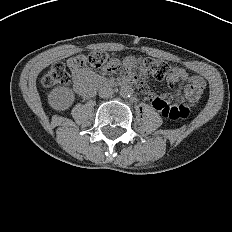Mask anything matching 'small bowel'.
I'll return each mask as SVG.
<instances>
[{
    "label": "small bowel",
    "instance_id": "small-bowel-1",
    "mask_svg": "<svg viewBox=\"0 0 232 232\" xmlns=\"http://www.w3.org/2000/svg\"><path fill=\"white\" fill-rule=\"evenodd\" d=\"M76 58L77 57L68 61V66L73 75V90L76 93L84 96V90L94 79L95 75L92 71L86 69L84 65L77 63ZM127 71L130 77H137L141 74L142 69L136 60L127 57L121 61V65L115 68L114 73L117 77L122 78L126 75ZM168 81L171 84L188 81L193 86H197L202 89L205 87V81L202 77L189 76L187 71L182 67H174L168 76ZM138 87L143 93L147 95L153 107L162 112L163 106L156 104V101L159 100V97H156L143 82H138Z\"/></svg>",
    "mask_w": 232,
    "mask_h": 232
}]
</instances>
